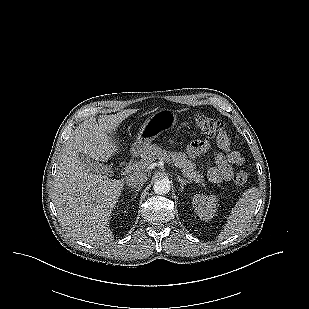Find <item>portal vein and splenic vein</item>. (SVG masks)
<instances>
[{
	"label": "portal vein and splenic vein",
	"mask_w": 309,
	"mask_h": 309,
	"mask_svg": "<svg viewBox=\"0 0 309 309\" xmlns=\"http://www.w3.org/2000/svg\"><path fill=\"white\" fill-rule=\"evenodd\" d=\"M145 165H146V164H144L143 162H139V163L130 165V166H128V167L125 169V172H130L131 170L137 169L138 167L143 168V167H145Z\"/></svg>",
	"instance_id": "portal-vein-and-splenic-vein-1"
}]
</instances>
